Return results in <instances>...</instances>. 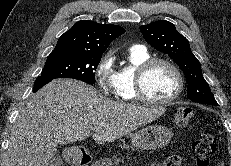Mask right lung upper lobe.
<instances>
[{"mask_svg":"<svg viewBox=\"0 0 231 166\" xmlns=\"http://www.w3.org/2000/svg\"><path fill=\"white\" fill-rule=\"evenodd\" d=\"M124 32L125 30L118 25L81 20L59 38L54 50L67 49L102 55L110 42Z\"/></svg>","mask_w":231,"mask_h":166,"instance_id":"obj_1","label":"right lung upper lobe"}]
</instances>
